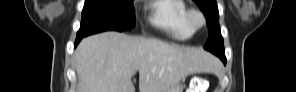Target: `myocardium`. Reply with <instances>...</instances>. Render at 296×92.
<instances>
[{
    "instance_id": "1",
    "label": "myocardium",
    "mask_w": 296,
    "mask_h": 92,
    "mask_svg": "<svg viewBox=\"0 0 296 92\" xmlns=\"http://www.w3.org/2000/svg\"><path fill=\"white\" fill-rule=\"evenodd\" d=\"M187 23L193 32L201 29L205 25L204 14L198 9H189L187 13Z\"/></svg>"
}]
</instances>
